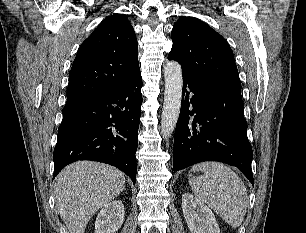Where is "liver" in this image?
Masks as SVG:
<instances>
[{"label":"liver","mask_w":306,"mask_h":233,"mask_svg":"<svg viewBox=\"0 0 306 233\" xmlns=\"http://www.w3.org/2000/svg\"><path fill=\"white\" fill-rule=\"evenodd\" d=\"M124 185V174L107 164L79 161L64 168L56 178L54 197L69 233H84L91 217Z\"/></svg>","instance_id":"6515ba94"}]
</instances>
